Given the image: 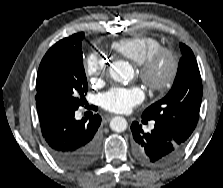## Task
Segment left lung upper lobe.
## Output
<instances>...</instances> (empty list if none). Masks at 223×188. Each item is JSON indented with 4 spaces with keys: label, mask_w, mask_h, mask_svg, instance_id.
<instances>
[{
    "label": "left lung upper lobe",
    "mask_w": 223,
    "mask_h": 188,
    "mask_svg": "<svg viewBox=\"0 0 223 188\" xmlns=\"http://www.w3.org/2000/svg\"><path fill=\"white\" fill-rule=\"evenodd\" d=\"M180 49L182 58L171 90L149 106L142 117L167 126L187 141L198 122L202 81L192 50L183 43Z\"/></svg>",
    "instance_id": "left-lung-upper-lobe-1"
}]
</instances>
